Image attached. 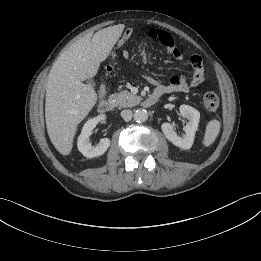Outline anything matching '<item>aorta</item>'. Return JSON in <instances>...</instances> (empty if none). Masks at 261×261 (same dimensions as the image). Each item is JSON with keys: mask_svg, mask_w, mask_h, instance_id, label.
<instances>
[{"mask_svg": "<svg viewBox=\"0 0 261 261\" xmlns=\"http://www.w3.org/2000/svg\"><path fill=\"white\" fill-rule=\"evenodd\" d=\"M148 119V113L144 109H138L134 113V120L138 123H142L147 121Z\"/></svg>", "mask_w": 261, "mask_h": 261, "instance_id": "1", "label": "aorta"}]
</instances>
